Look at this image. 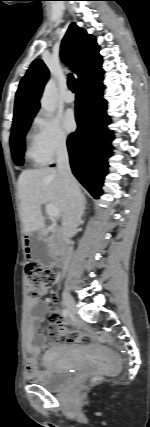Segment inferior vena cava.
<instances>
[{
  "label": "inferior vena cava",
  "instance_id": "obj_1",
  "mask_svg": "<svg viewBox=\"0 0 150 427\" xmlns=\"http://www.w3.org/2000/svg\"><path fill=\"white\" fill-rule=\"evenodd\" d=\"M57 170L62 176L66 191V208L62 218V232L65 237L70 238L75 234L76 227L83 214L84 200L78 182L71 172L65 142H61L57 146Z\"/></svg>",
  "mask_w": 150,
  "mask_h": 427
}]
</instances>
